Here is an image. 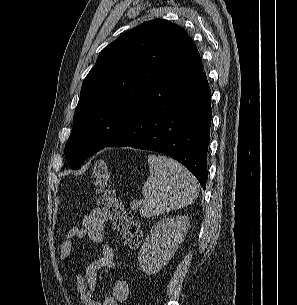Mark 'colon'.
Wrapping results in <instances>:
<instances>
[{"label": "colon", "instance_id": "5ec220e1", "mask_svg": "<svg viewBox=\"0 0 297 305\" xmlns=\"http://www.w3.org/2000/svg\"><path fill=\"white\" fill-rule=\"evenodd\" d=\"M93 181L98 195V204L110 218L114 230L128 248H136L142 240L138 223L129 209L121 202L118 193L111 186L107 164L99 161L93 170Z\"/></svg>", "mask_w": 297, "mask_h": 305}]
</instances>
